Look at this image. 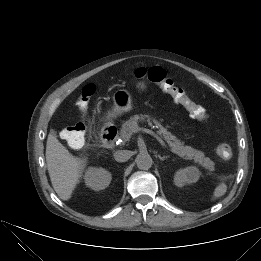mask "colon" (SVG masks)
I'll list each match as a JSON object with an SVG mask.
<instances>
[{
  "label": "colon",
  "instance_id": "1",
  "mask_svg": "<svg viewBox=\"0 0 261 261\" xmlns=\"http://www.w3.org/2000/svg\"><path fill=\"white\" fill-rule=\"evenodd\" d=\"M136 77L147 79L161 87V89L170 94L173 99L183 105L189 113L198 119L206 120V111L198 104L194 103L186 94L185 90L178 87L173 79L168 75L165 69L159 66L150 68H138L135 71ZM96 87L94 84H86L78 97L77 105L81 111H86L89 102L95 94ZM86 127L84 123L78 122L62 130V136L72 148H81L85 143ZM217 154L223 160H230L233 157V149L227 142H220L217 147Z\"/></svg>",
  "mask_w": 261,
  "mask_h": 261
}]
</instances>
